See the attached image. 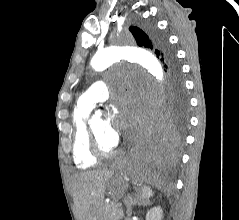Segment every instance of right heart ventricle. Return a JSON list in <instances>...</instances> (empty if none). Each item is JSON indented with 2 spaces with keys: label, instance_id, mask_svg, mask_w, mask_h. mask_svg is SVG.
<instances>
[{
  "label": "right heart ventricle",
  "instance_id": "obj_1",
  "mask_svg": "<svg viewBox=\"0 0 239 220\" xmlns=\"http://www.w3.org/2000/svg\"><path fill=\"white\" fill-rule=\"evenodd\" d=\"M91 109L78 102L72 113V155L76 166L82 169L91 168L97 163V158L92 155L88 142L87 126Z\"/></svg>",
  "mask_w": 239,
  "mask_h": 220
}]
</instances>
